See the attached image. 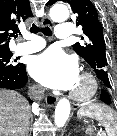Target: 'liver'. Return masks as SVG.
Masks as SVG:
<instances>
[{
	"label": "liver",
	"instance_id": "6515ba94",
	"mask_svg": "<svg viewBox=\"0 0 117 136\" xmlns=\"http://www.w3.org/2000/svg\"><path fill=\"white\" fill-rule=\"evenodd\" d=\"M30 105L19 93L0 90V136H25Z\"/></svg>",
	"mask_w": 117,
	"mask_h": 136
}]
</instances>
